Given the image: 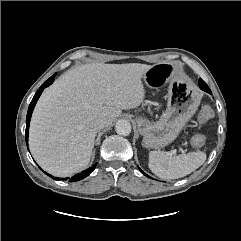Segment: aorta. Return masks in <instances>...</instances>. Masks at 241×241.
<instances>
[{
  "label": "aorta",
  "mask_w": 241,
  "mask_h": 241,
  "mask_svg": "<svg viewBox=\"0 0 241 241\" xmlns=\"http://www.w3.org/2000/svg\"><path fill=\"white\" fill-rule=\"evenodd\" d=\"M115 130L119 135L128 136L131 133V124L127 120H119L116 123Z\"/></svg>",
  "instance_id": "obj_1"
}]
</instances>
